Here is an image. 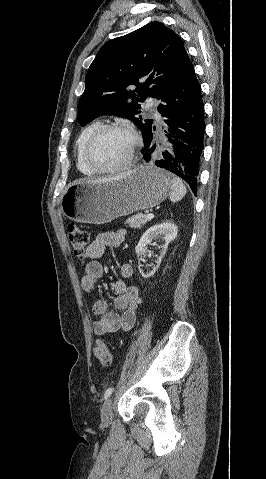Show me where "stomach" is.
Wrapping results in <instances>:
<instances>
[{
	"instance_id": "1",
	"label": "stomach",
	"mask_w": 266,
	"mask_h": 479,
	"mask_svg": "<svg viewBox=\"0 0 266 479\" xmlns=\"http://www.w3.org/2000/svg\"><path fill=\"white\" fill-rule=\"evenodd\" d=\"M172 185V175L167 171L141 165L118 180L71 184L63 193L60 206L70 220L104 224L157 206L166 199Z\"/></svg>"
}]
</instances>
